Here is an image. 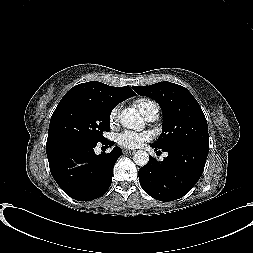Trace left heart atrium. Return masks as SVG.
I'll list each match as a JSON object with an SVG mask.
<instances>
[{"label": "left heart atrium", "mask_w": 253, "mask_h": 253, "mask_svg": "<svg viewBox=\"0 0 253 253\" xmlns=\"http://www.w3.org/2000/svg\"><path fill=\"white\" fill-rule=\"evenodd\" d=\"M152 138L153 133L151 131L136 132L125 130L117 135L116 141L122 147L135 149L150 141Z\"/></svg>", "instance_id": "obj_1"}]
</instances>
